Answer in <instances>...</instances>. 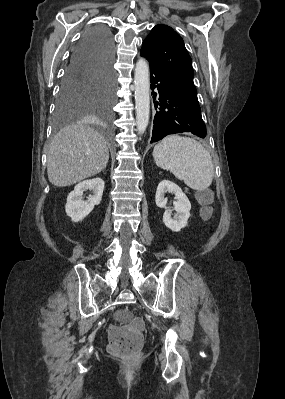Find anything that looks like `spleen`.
<instances>
[{
	"mask_svg": "<svg viewBox=\"0 0 285 399\" xmlns=\"http://www.w3.org/2000/svg\"><path fill=\"white\" fill-rule=\"evenodd\" d=\"M153 157L158 167L170 170L194 190H204L212 183L214 166L210 153L193 138L167 136L154 147Z\"/></svg>",
	"mask_w": 285,
	"mask_h": 399,
	"instance_id": "spleen-1",
	"label": "spleen"
}]
</instances>
